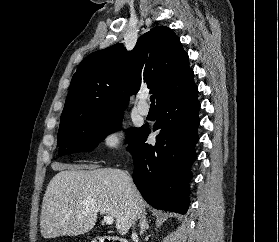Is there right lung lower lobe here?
Wrapping results in <instances>:
<instances>
[{
    "label": "right lung lower lobe",
    "mask_w": 279,
    "mask_h": 242,
    "mask_svg": "<svg viewBox=\"0 0 279 242\" xmlns=\"http://www.w3.org/2000/svg\"><path fill=\"white\" fill-rule=\"evenodd\" d=\"M197 94L193 85L157 105L153 130L160 129V134L156 143H146L150 129L144 125L128 147L133 155V181L145 201L156 209L182 214L188 210L189 169L197 157L194 147L199 140Z\"/></svg>",
    "instance_id": "1"
}]
</instances>
